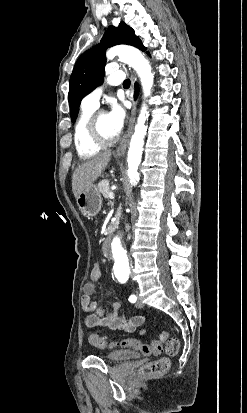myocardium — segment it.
<instances>
[{"instance_id": "1", "label": "myocardium", "mask_w": 247, "mask_h": 413, "mask_svg": "<svg viewBox=\"0 0 247 413\" xmlns=\"http://www.w3.org/2000/svg\"><path fill=\"white\" fill-rule=\"evenodd\" d=\"M101 113H96L93 117H91L88 135L90 140L97 146L101 148H109L112 147L116 142L117 138L113 139H106L102 136L99 126H95L98 122Z\"/></svg>"}]
</instances>
